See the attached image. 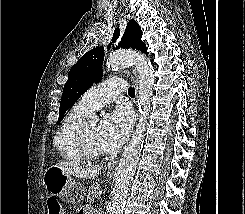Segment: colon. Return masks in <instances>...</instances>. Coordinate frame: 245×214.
<instances>
[{
  "mask_svg": "<svg viewBox=\"0 0 245 214\" xmlns=\"http://www.w3.org/2000/svg\"><path fill=\"white\" fill-rule=\"evenodd\" d=\"M49 214H61L60 205L55 199L48 200Z\"/></svg>",
  "mask_w": 245,
  "mask_h": 214,
  "instance_id": "colon-1",
  "label": "colon"
}]
</instances>
